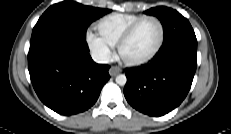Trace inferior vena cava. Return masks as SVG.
I'll use <instances>...</instances> for the list:
<instances>
[{"mask_svg":"<svg viewBox=\"0 0 231 134\" xmlns=\"http://www.w3.org/2000/svg\"><path fill=\"white\" fill-rule=\"evenodd\" d=\"M92 59L97 63H108L109 56L102 53H92Z\"/></svg>","mask_w":231,"mask_h":134,"instance_id":"602c4592","label":"inferior vena cava"}]
</instances>
